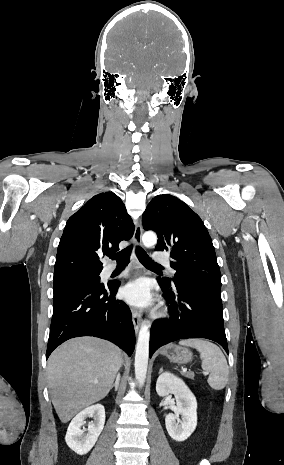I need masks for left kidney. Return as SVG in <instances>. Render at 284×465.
I'll list each match as a JSON object with an SVG mask.
<instances>
[{
    "label": "left kidney",
    "instance_id": "left-kidney-1",
    "mask_svg": "<svg viewBox=\"0 0 284 465\" xmlns=\"http://www.w3.org/2000/svg\"><path fill=\"white\" fill-rule=\"evenodd\" d=\"M156 391L159 397L174 395L177 409L166 415V429L174 441H186L197 427V401L182 379L171 373H162L157 379ZM181 415V419H178Z\"/></svg>",
    "mask_w": 284,
    "mask_h": 465
}]
</instances>
